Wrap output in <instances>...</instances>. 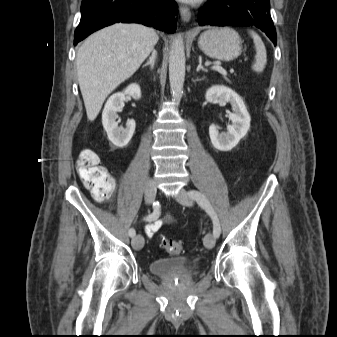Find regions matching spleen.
<instances>
[{"instance_id": "spleen-1", "label": "spleen", "mask_w": 337, "mask_h": 337, "mask_svg": "<svg viewBox=\"0 0 337 337\" xmlns=\"http://www.w3.org/2000/svg\"><path fill=\"white\" fill-rule=\"evenodd\" d=\"M249 33L253 39L256 50L255 61L252 65V69L255 72L260 73L264 70L265 65L267 63L266 48L262 39L257 33H255L254 31H249Z\"/></svg>"}]
</instances>
